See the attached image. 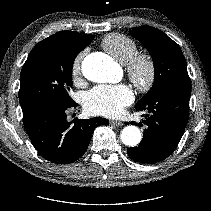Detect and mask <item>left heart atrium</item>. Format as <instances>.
Segmentation results:
<instances>
[{"mask_svg": "<svg viewBox=\"0 0 211 211\" xmlns=\"http://www.w3.org/2000/svg\"><path fill=\"white\" fill-rule=\"evenodd\" d=\"M133 98L132 91L124 84L101 85L88 91L83 103L90 114L112 117L131 104Z\"/></svg>", "mask_w": 211, "mask_h": 211, "instance_id": "obj_1", "label": "left heart atrium"}]
</instances>
